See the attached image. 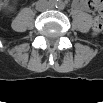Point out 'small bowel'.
Returning <instances> with one entry per match:
<instances>
[{"mask_svg":"<svg viewBox=\"0 0 103 103\" xmlns=\"http://www.w3.org/2000/svg\"><path fill=\"white\" fill-rule=\"evenodd\" d=\"M78 7L85 9V10H90L89 3H86V2H79Z\"/></svg>","mask_w":103,"mask_h":103,"instance_id":"1","label":"small bowel"}]
</instances>
